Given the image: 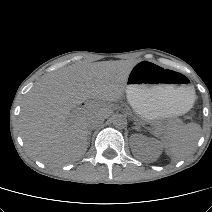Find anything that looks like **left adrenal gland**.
I'll use <instances>...</instances> for the list:
<instances>
[{"instance_id":"left-adrenal-gland-1","label":"left adrenal gland","mask_w":212,"mask_h":212,"mask_svg":"<svg viewBox=\"0 0 212 212\" xmlns=\"http://www.w3.org/2000/svg\"><path fill=\"white\" fill-rule=\"evenodd\" d=\"M134 129L137 130V131L139 130V127H138L137 124H136V126H134Z\"/></svg>"}]
</instances>
